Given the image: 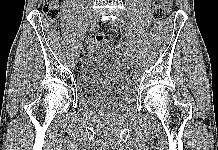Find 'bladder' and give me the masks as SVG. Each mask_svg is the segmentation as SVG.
<instances>
[{
	"mask_svg": "<svg viewBox=\"0 0 218 150\" xmlns=\"http://www.w3.org/2000/svg\"><path fill=\"white\" fill-rule=\"evenodd\" d=\"M119 77L113 54L105 47H92L79 71L80 86L88 94L107 93Z\"/></svg>",
	"mask_w": 218,
	"mask_h": 150,
	"instance_id": "obj_1",
	"label": "bladder"
}]
</instances>
